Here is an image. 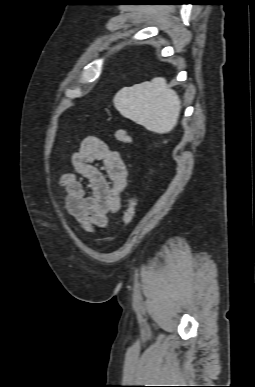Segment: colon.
Masks as SVG:
<instances>
[{"instance_id": "colon-1", "label": "colon", "mask_w": 255, "mask_h": 387, "mask_svg": "<svg viewBox=\"0 0 255 387\" xmlns=\"http://www.w3.org/2000/svg\"><path fill=\"white\" fill-rule=\"evenodd\" d=\"M115 137L121 143H124V144L132 143V136L127 129L121 128L116 130ZM135 211H136V199L134 197H131L128 200L125 211L123 213V223L125 225H129L133 221L135 217Z\"/></svg>"}]
</instances>
